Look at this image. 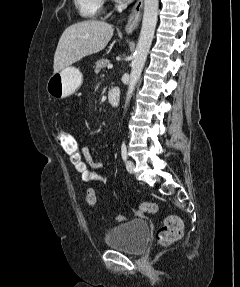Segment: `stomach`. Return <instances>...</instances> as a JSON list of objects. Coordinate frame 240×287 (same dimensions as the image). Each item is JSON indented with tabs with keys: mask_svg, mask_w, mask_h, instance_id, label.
<instances>
[{
	"mask_svg": "<svg viewBox=\"0 0 240 287\" xmlns=\"http://www.w3.org/2000/svg\"><path fill=\"white\" fill-rule=\"evenodd\" d=\"M83 82L81 71L73 66L54 73L47 81L46 90L55 99L66 98L75 93Z\"/></svg>",
	"mask_w": 240,
	"mask_h": 287,
	"instance_id": "stomach-1",
	"label": "stomach"
}]
</instances>
